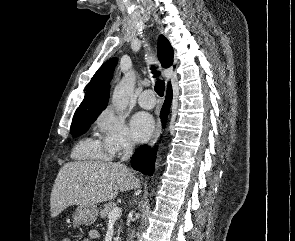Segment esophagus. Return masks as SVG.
<instances>
[{
    "label": "esophagus",
    "mask_w": 295,
    "mask_h": 241,
    "mask_svg": "<svg viewBox=\"0 0 295 241\" xmlns=\"http://www.w3.org/2000/svg\"><path fill=\"white\" fill-rule=\"evenodd\" d=\"M160 132H161V122H160V119L158 118L155 132H154L151 140L148 143L149 146H153L155 144V142L157 141V139L159 137Z\"/></svg>",
    "instance_id": "1"
}]
</instances>
